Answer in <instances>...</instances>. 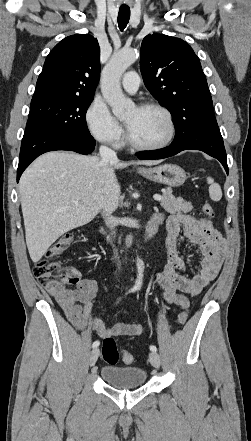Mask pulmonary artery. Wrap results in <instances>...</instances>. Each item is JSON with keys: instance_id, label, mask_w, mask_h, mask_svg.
<instances>
[{"instance_id": "obj_1", "label": "pulmonary artery", "mask_w": 251, "mask_h": 441, "mask_svg": "<svg viewBox=\"0 0 251 441\" xmlns=\"http://www.w3.org/2000/svg\"><path fill=\"white\" fill-rule=\"evenodd\" d=\"M140 84V77L136 72H127L122 79V86L124 90L130 93H135Z\"/></svg>"}]
</instances>
